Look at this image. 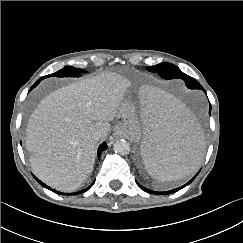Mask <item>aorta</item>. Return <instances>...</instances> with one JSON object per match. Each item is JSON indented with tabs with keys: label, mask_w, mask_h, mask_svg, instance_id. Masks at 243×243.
<instances>
[{
	"label": "aorta",
	"mask_w": 243,
	"mask_h": 243,
	"mask_svg": "<svg viewBox=\"0 0 243 243\" xmlns=\"http://www.w3.org/2000/svg\"><path fill=\"white\" fill-rule=\"evenodd\" d=\"M113 150L120 155H127L130 152V144L126 140H118L113 144Z\"/></svg>",
	"instance_id": "762f6f07"
}]
</instances>
